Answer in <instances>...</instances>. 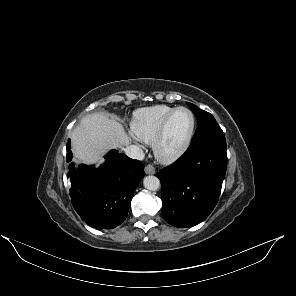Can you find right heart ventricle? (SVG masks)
Returning <instances> with one entry per match:
<instances>
[{"mask_svg": "<svg viewBox=\"0 0 296 296\" xmlns=\"http://www.w3.org/2000/svg\"><path fill=\"white\" fill-rule=\"evenodd\" d=\"M174 109L167 105H156L137 110L132 121L136 137L141 142L152 144L162 123Z\"/></svg>", "mask_w": 296, "mask_h": 296, "instance_id": "obj_1", "label": "right heart ventricle"}]
</instances>
